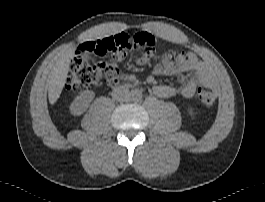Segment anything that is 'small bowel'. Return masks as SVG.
Instances as JSON below:
<instances>
[{"instance_id":"obj_1","label":"small bowel","mask_w":265,"mask_h":202,"mask_svg":"<svg viewBox=\"0 0 265 202\" xmlns=\"http://www.w3.org/2000/svg\"><path fill=\"white\" fill-rule=\"evenodd\" d=\"M101 38L83 42L78 46L77 54L80 56L102 55L97 47V40ZM137 63L143 65L146 61L143 58H138ZM152 73L155 75H178L186 73L188 75V80L179 87L163 84L154 86V93L161 98H172L178 95L184 98H191L199 86L213 82L207 66L192 53L174 54L172 52H165L162 55L161 65L154 67ZM118 81L119 78L110 80V84L114 85Z\"/></svg>"}]
</instances>
